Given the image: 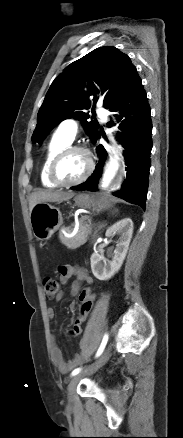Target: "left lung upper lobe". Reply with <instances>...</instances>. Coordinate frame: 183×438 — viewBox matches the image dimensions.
I'll use <instances>...</instances> for the list:
<instances>
[{
    "label": "left lung upper lobe",
    "mask_w": 183,
    "mask_h": 438,
    "mask_svg": "<svg viewBox=\"0 0 183 438\" xmlns=\"http://www.w3.org/2000/svg\"><path fill=\"white\" fill-rule=\"evenodd\" d=\"M138 77L130 58L112 46L99 47L68 65L51 84L38 112L32 141L39 144L51 129L67 118L79 119L92 140L98 135L96 120L84 110L104 96L103 105L111 108ZM94 109V106L92 110Z\"/></svg>",
    "instance_id": "obj_1"
}]
</instances>
